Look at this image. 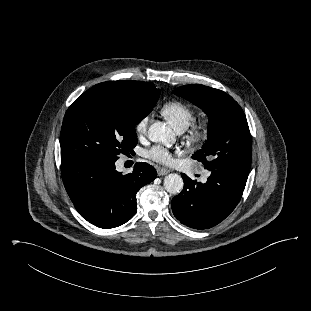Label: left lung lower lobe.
Segmentation results:
<instances>
[{
	"instance_id": "left-lung-lower-lobe-1",
	"label": "left lung lower lobe",
	"mask_w": 311,
	"mask_h": 311,
	"mask_svg": "<svg viewBox=\"0 0 311 311\" xmlns=\"http://www.w3.org/2000/svg\"><path fill=\"white\" fill-rule=\"evenodd\" d=\"M205 183L182 174L184 188L172 199V211L184 225L208 229L223 221L239 203L248 174L233 170H209Z\"/></svg>"
}]
</instances>
